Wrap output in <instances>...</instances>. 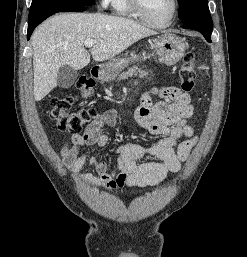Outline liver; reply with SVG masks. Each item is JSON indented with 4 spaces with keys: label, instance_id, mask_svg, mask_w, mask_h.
<instances>
[{
    "label": "liver",
    "instance_id": "liver-1",
    "mask_svg": "<svg viewBox=\"0 0 247 257\" xmlns=\"http://www.w3.org/2000/svg\"><path fill=\"white\" fill-rule=\"evenodd\" d=\"M157 32L127 18L101 13H63L43 22L32 36L34 99L42 100L57 86V73L68 65L80 70L90 63L87 39L96 62L113 59L138 40Z\"/></svg>",
    "mask_w": 247,
    "mask_h": 257
}]
</instances>
